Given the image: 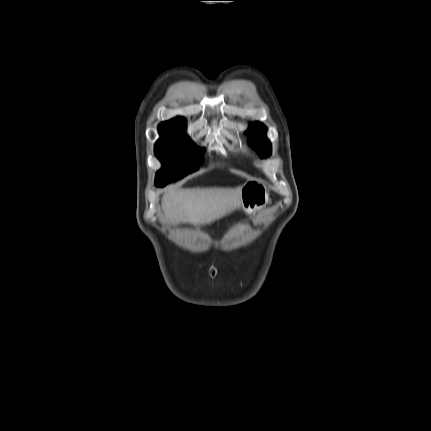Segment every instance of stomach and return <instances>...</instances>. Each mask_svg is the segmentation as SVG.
<instances>
[{
    "mask_svg": "<svg viewBox=\"0 0 431 431\" xmlns=\"http://www.w3.org/2000/svg\"><path fill=\"white\" fill-rule=\"evenodd\" d=\"M269 203L267 188L256 181H247L241 188V205L247 214H254Z\"/></svg>",
    "mask_w": 431,
    "mask_h": 431,
    "instance_id": "obj_1",
    "label": "stomach"
}]
</instances>
